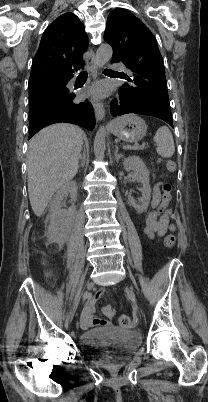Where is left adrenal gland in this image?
Listing matches in <instances>:
<instances>
[{
  "instance_id": "1",
  "label": "left adrenal gland",
  "mask_w": 208,
  "mask_h": 402,
  "mask_svg": "<svg viewBox=\"0 0 208 402\" xmlns=\"http://www.w3.org/2000/svg\"><path fill=\"white\" fill-rule=\"evenodd\" d=\"M114 156L116 162H119L120 158H123V154H118V146H115Z\"/></svg>"
}]
</instances>
